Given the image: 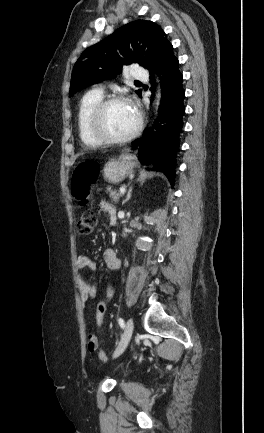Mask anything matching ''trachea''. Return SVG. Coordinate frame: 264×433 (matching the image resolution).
I'll use <instances>...</instances> for the list:
<instances>
[{
    "mask_svg": "<svg viewBox=\"0 0 264 433\" xmlns=\"http://www.w3.org/2000/svg\"><path fill=\"white\" fill-rule=\"evenodd\" d=\"M136 83H140V81H135Z\"/></svg>",
    "mask_w": 264,
    "mask_h": 433,
    "instance_id": "obj_1",
    "label": "trachea"
}]
</instances>
